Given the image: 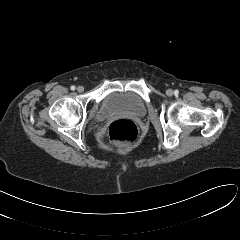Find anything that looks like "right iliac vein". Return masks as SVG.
<instances>
[{
    "mask_svg": "<svg viewBox=\"0 0 240 240\" xmlns=\"http://www.w3.org/2000/svg\"><path fill=\"white\" fill-rule=\"evenodd\" d=\"M77 91L79 93H82L84 91V87L83 86H78Z\"/></svg>",
    "mask_w": 240,
    "mask_h": 240,
    "instance_id": "1",
    "label": "right iliac vein"
}]
</instances>
